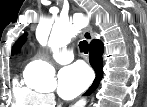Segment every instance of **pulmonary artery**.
I'll list each match as a JSON object with an SVG mask.
<instances>
[{"label":"pulmonary artery","mask_w":147,"mask_h":107,"mask_svg":"<svg viewBox=\"0 0 147 107\" xmlns=\"http://www.w3.org/2000/svg\"><path fill=\"white\" fill-rule=\"evenodd\" d=\"M53 58L60 64H67L74 59V55L70 50H59L53 52Z\"/></svg>","instance_id":"1"}]
</instances>
